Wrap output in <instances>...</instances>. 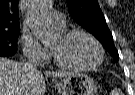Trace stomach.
<instances>
[{
  "label": "stomach",
  "instance_id": "stomach-1",
  "mask_svg": "<svg viewBox=\"0 0 135 95\" xmlns=\"http://www.w3.org/2000/svg\"><path fill=\"white\" fill-rule=\"evenodd\" d=\"M60 95H96L97 86L84 73H73L56 83Z\"/></svg>",
  "mask_w": 135,
  "mask_h": 95
}]
</instances>
